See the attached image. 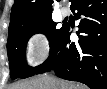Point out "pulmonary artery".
Masks as SVG:
<instances>
[{
    "instance_id": "obj_1",
    "label": "pulmonary artery",
    "mask_w": 107,
    "mask_h": 89,
    "mask_svg": "<svg viewBox=\"0 0 107 89\" xmlns=\"http://www.w3.org/2000/svg\"><path fill=\"white\" fill-rule=\"evenodd\" d=\"M69 13H70V11H69V9L67 7L61 8V15L63 17H67L69 15Z\"/></svg>"
}]
</instances>
